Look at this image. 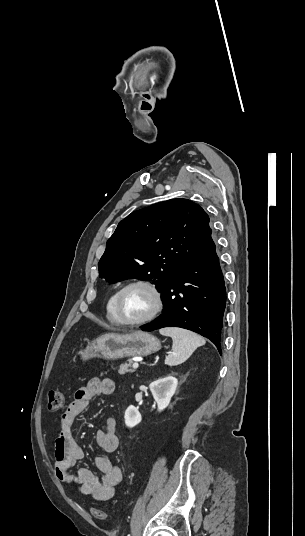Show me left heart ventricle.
<instances>
[{"label": "left heart ventricle", "mask_w": 305, "mask_h": 536, "mask_svg": "<svg viewBox=\"0 0 305 536\" xmlns=\"http://www.w3.org/2000/svg\"><path fill=\"white\" fill-rule=\"evenodd\" d=\"M154 306L152 293L143 286H132L122 296V317L127 321H137L147 316Z\"/></svg>", "instance_id": "b2bd125f"}]
</instances>
